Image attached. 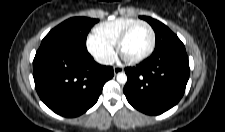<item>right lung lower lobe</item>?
<instances>
[{
    "label": "right lung lower lobe",
    "instance_id": "1",
    "mask_svg": "<svg viewBox=\"0 0 225 132\" xmlns=\"http://www.w3.org/2000/svg\"><path fill=\"white\" fill-rule=\"evenodd\" d=\"M113 75V68L96 63L87 49L41 45L33 61L39 97L64 117H76L91 108Z\"/></svg>",
    "mask_w": 225,
    "mask_h": 132
}]
</instances>
